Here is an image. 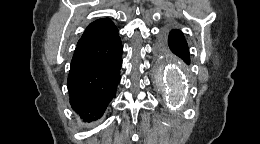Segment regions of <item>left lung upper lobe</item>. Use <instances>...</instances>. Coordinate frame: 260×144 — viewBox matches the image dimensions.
Segmentation results:
<instances>
[{
	"label": "left lung upper lobe",
	"mask_w": 260,
	"mask_h": 144,
	"mask_svg": "<svg viewBox=\"0 0 260 144\" xmlns=\"http://www.w3.org/2000/svg\"><path fill=\"white\" fill-rule=\"evenodd\" d=\"M160 50L161 51H171L169 46L166 43H161L160 44Z\"/></svg>",
	"instance_id": "5c2ea615"
}]
</instances>
